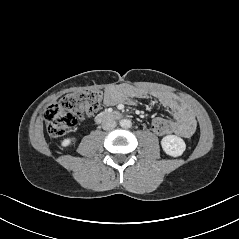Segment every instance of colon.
<instances>
[{
    "instance_id": "colon-1",
    "label": "colon",
    "mask_w": 239,
    "mask_h": 239,
    "mask_svg": "<svg viewBox=\"0 0 239 239\" xmlns=\"http://www.w3.org/2000/svg\"><path fill=\"white\" fill-rule=\"evenodd\" d=\"M102 100L103 94L99 90L65 95L59 103L50 105L45 112L48 134L55 138L63 136L87 116L96 113ZM171 130L172 123L165 116H158L151 123V131L157 137H165Z\"/></svg>"
}]
</instances>
